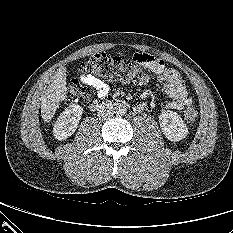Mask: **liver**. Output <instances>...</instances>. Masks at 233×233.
<instances>
[{"label":"liver","instance_id":"liver-1","mask_svg":"<svg viewBox=\"0 0 233 233\" xmlns=\"http://www.w3.org/2000/svg\"><path fill=\"white\" fill-rule=\"evenodd\" d=\"M66 95V69L60 67L50 80V84L42 97L41 114L44 122H49L53 118L60 102L66 98Z\"/></svg>","mask_w":233,"mask_h":233}]
</instances>
